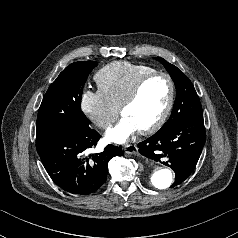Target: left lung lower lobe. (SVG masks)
I'll return each instance as SVG.
<instances>
[{
    "label": "left lung lower lobe",
    "mask_w": 238,
    "mask_h": 238,
    "mask_svg": "<svg viewBox=\"0 0 238 238\" xmlns=\"http://www.w3.org/2000/svg\"><path fill=\"white\" fill-rule=\"evenodd\" d=\"M206 140L204 121L183 120L161 128L138 144L139 152L147 158L162 162L175 172L171 188L185 181L196 167Z\"/></svg>",
    "instance_id": "0a47b994"
}]
</instances>
